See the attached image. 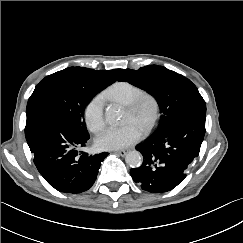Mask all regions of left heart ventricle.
Returning <instances> with one entry per match:
<instances>
[{"mask_svg":"<svg viewBox=\"0 0 243 243\" xmlns=\"http://www.w3.org/2000/svg\"><path fill=\"white\" fill-rule=\"evenodd\" d=\"M152 116V106L147 104L139 113H132L131 111L127 110L125 123H135L143 130L150 123Z\"/></svg>","mask_w":243,"mask_h":243,"instance_id":"1","label":"left heart ventricle"}]
</instances>
